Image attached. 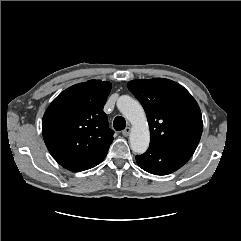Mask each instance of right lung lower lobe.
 Wrapping results in <instances>:
<instances>
[{
  "label": "right lung lower lobe",
  "mask_w": 241,
  "mask_h": 241,
  "mask_svg": "<svg viewBox=\"0 0 241 241\" xmlns=\"http://www.w3.org/2000/svg\"><path fill=\"white\" fill-rule=\"evenodd\" d=\"M107 152L108 151L100 154L99 156H97V157H95V158H93L91 160L72 164V165L66 167V169H68L70 171L78 172V171H84V170L90 169L92 167H95L96 165H98L99 163H101L103 161V159L105 158Z\"/></svg>",
  "instance_id": "1"
}]
</instances>
